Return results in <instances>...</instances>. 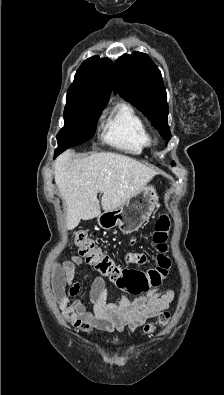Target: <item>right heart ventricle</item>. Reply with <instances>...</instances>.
Instances as JSON below:
<instances>
[{"label": "right heart ventricle", "mask_w": 224, "mask_h": 395, "mask_svg": "<svg viewBox=\"0 0 224 395\" xmlns=\"http://www.w3.org/2000/svg\"><path fill=\"white\" fill-rule=\"evenodd\" d=\"M101 138L110 146L134 155L144 153L152 143L145 122L125 102L118 103L109 113Z\"/></svg>", "instance_id": "1"}]
</instances>
